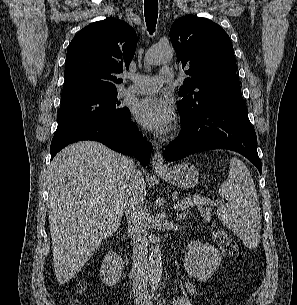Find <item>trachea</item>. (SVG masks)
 I'll return each instance as SVG.
<instances>
[{
    "label": "trachea",
    "instance_id": "obj_1",
    "mask_svg": "<svg viewBox=\"0 0 297 305\" xmlns=\"http://www.w3.org/2000/svg\"><path fill=\"white\" fill-rule=\"evenodd\" d=\"M144 15L147 29L153 33L158 18V0H144Z\"/></svg>",
    "mask_w": 297,
    "mask_h": 305
}]
</instances>
